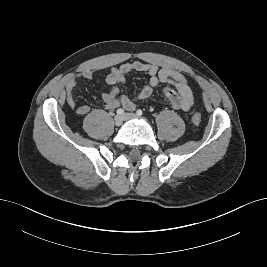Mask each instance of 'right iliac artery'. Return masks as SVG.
Masks as SVG:
<instances>
[{
  "label": "right iliac artery",
  "instance_id": "1",
  "mask_svg": "<svg viewBox=\"0 0 267 267\" xmlns=\"http://www.w3.org/2000/svg\"><path fill=\"white\" fill-rule=\"evenodd\" d=\"M117 114H118V115H122V114H124V110H123V109H121V108H120V109H118V110H117Z\"/></svg>",
  "mask_w": 267,
  "mask_h": 267
}]
</instances>
